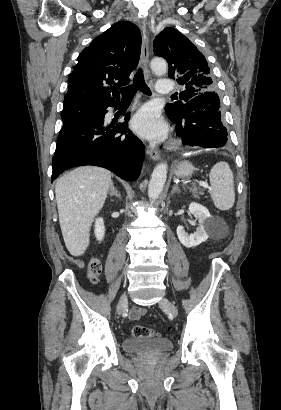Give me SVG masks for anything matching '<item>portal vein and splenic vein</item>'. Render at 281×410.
<instances>
[{"label": "portal vein and splenic vein", "instance_id": "1", "mask_svg": "<svg viewBox=\"0 0 281 410\" xmlns=\"http://www.w3.org/2000/svg\"><path fill=\"white\" fill-rule=\"evenodd\" d=\"M199 185L204 187V188H209L207 182H204V181H199Z\"/></svg>", "mask_w": 281, "mask_h": 410}]
</instances>
